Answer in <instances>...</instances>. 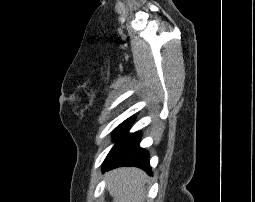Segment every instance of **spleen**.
Here are the masks:
<instances>
[{
    "label": "spleen",
    "instance_id": "obj_1",
    "mask_svg": "<svg viewBox=\"0 0 255 202\" xmlns=\"http://www.w3.org/2000/svg\"><path fill=\"white\" fill-rule=\"evenodd\" d=\"M107 188L113 202H142L145 197L146 175L135 168H123L108 176Z\"/></svg>",
    "mask_w": 255,
    "mask_h": 202
}]
</instances>
